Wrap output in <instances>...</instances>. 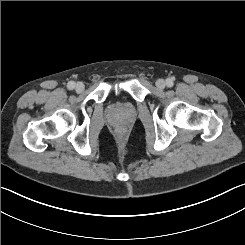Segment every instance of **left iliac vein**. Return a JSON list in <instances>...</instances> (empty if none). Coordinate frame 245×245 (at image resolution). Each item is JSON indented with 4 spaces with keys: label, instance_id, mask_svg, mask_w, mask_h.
Here are the masks:
<instances>
[{
    "label": "left iliac vein",
    "instance_id": "1",
    "mask_svg": "<svg viewBox=\"0 0 245 245\" xmlns=\"http://www.w3.org/2000/svg\"><path fill=\"white\" fill-rule=\"evenodd\" d=\"M156 86L159 89H164L165 88V81L163 79H158L156 81Z\"/></svg>",
    "mask_w": 245,
    "mask_h": 245
}]
</instances>
